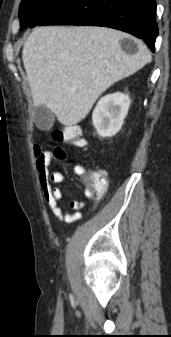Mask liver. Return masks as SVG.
Segmentation results:
<instances>
[{
	"label": "liver",
	"mask_w": 171,
	"mask_h": 337,
	"mask_svg": "<svg viewBox=\"0 0 171 337\" xmlns=\"http://www.w3.org/2000/svg\"><path fill=\"white\" fill-rule=\"evenodd\" d=\"M137 51L129 54L121 41ZM34 104L45 106L64 126H73L90 112L98 97L152 57L143 41L105 27L44 26L36 28L22 51Z\"/></svg>",
	"instance_id": "obj_1"
}]
</instances>
